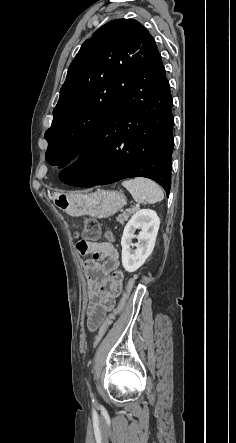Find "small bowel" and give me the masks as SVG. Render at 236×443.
<instances>
[{
  "label": "small bowel",
  "instance_id": "small-bowel-1",
  "mask_svg": "<svg viewBox=\"0 0 236 443\" xmlns=\"http://www.w3.org/2000/svg\"><path fill=\"white\" fill-rule=\"evenodd\" d=\"M82 254H92L84 268L88 273L87 294L88 328L95 331L102 323L106 313L113 309L116 297L121 293L124 274L119 269L120 260L117 248L106 242L87 243Z\"/></svg>",
  "mask_w": 236,
  "mask_h": 443
}]
</instances>
